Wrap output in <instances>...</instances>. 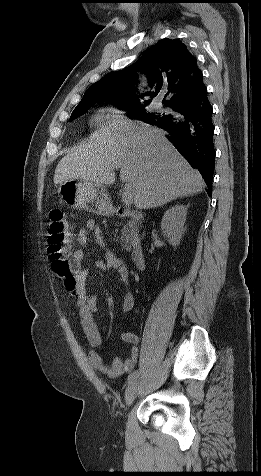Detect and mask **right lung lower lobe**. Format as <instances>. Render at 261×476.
I'll return each instance as SVG.
<instances>
[{"instance_id": "obj_1", "label": "right lung lower lobe", "mask_w": 261, "mask_h": 476, "mask_svg": "<svg viewBox=\"0 0 261 476\" xmlns=\"http://www.w3.org/2000/svg\"><path fill=\"white\" fill-rule=\"evenodd\" d=\"M173 114L151 122L167 131L169 141L198 169L208 186H212L215 149L212 106L205 85L191 98L171 107Z\"/></svg>"}]
</instances>
